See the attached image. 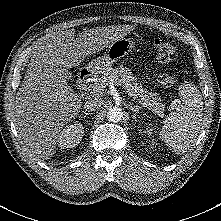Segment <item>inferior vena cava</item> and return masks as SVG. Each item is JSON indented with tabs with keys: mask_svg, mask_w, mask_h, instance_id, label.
<instances>
[{
	"mask_svg": "<svg viewBox=\"0 0 221 221\" xmlns=\"http://www.w3.org/2000/svg\"><path fill=\"white\" fill-rule=\"evenodd\" d=\"M103 100L99 98H91L84 104L85 111H95L103 105Z\"/></svg>",
	"mask_w": 221,
	"mask_h": 221,
	"instance_id": "obj_1",
	"label": "inferior vena cava"
}]
</instances>
